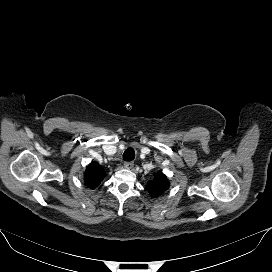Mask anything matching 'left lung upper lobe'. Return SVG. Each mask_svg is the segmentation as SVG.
Returning <instances> with one entry per match:
<instances>
[{
    "mask_svg": "<svg viewBox=\"0 0 272 272\" xmlns=\"http://www.w3.org/2000/svg\"><path fill=\"white\" fill-rule=\"evenodd\" d=\"M169 187V181L162 172L154 174V180L150 181L147 185L148 192L153 197L160 196Z\"/></svg>",
    "mask_w": 272,
    "mask_h": 272,
    "instance_id": "1",
    "label": "left lung upper lobe"
}]
</instances>
